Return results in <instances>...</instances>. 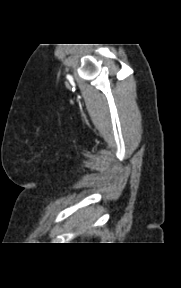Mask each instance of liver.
<instances>
[{
	"instance_id": "6515ba94",
	"label": "liver",
	"mask_w": 181,
	"mask_h": 288,
	"mask_svg": "<svg viewBox=\"0 0 181 288\" xmlns=\"http://www.w3.org/2000/svg\"><path fill=\"white\" fill-rule=\"evenodd\" d=\"M92 211V209H85V210H82L80 211L79 213L76 214V218L78 217H87L88 221H86V225L93 222L94 220V217H91L89 215V213ZM85 225L82 224V227H84Z\"/></svg>"
}]
</instances>
